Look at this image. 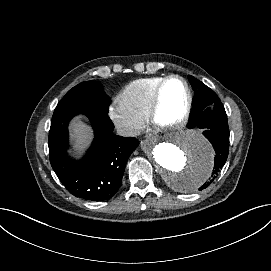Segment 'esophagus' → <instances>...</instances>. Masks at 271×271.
<instances>
[{
	"mask_svg": "<svg viewBox=\"0 0 271 271\" xmlns=\"http://www.w3.org/2000/svg\"><path fill=\"white\" fill-rule=\"evenodd\" d=\"M145 138L148 140V141H151L153 143H155L158 139V135H156L155 133H148L146 134Z\"/></svg>",
	"mask_w": 271,
	"mask_h": 271,
	"instance_id": "esophagus-1",
	"label": "esophagus"
}]
</instances>
